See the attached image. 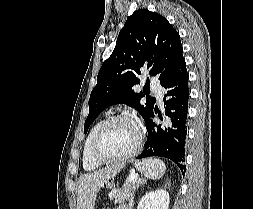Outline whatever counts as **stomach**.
<instances>
[{"label": "stomach", "instance_id": "0dacf381", "mask_svg": "<svg viewBox=\"0 0 253 209\" xmlns=\"http://www.w3.org/2000/svg\"><path fill=\"white\" fill-rule=\"evenodd\" d=\"M104 186H107V187H101V192H109V187H111L112 186V183L111 182H109V180L108 181H104Z\"/></svg>", "mask_w": 253, "mask_h": 209}]
</instances>
